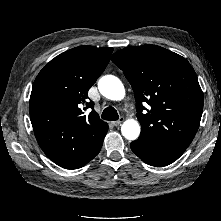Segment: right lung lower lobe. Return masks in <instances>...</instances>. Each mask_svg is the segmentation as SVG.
Segmentation results:
<instances>
[{
    "label": "right lung lower lobe",
    "mask_w": 221,
    "mask_h": 221,
    "mask_svg": "<svg viewBox=\"0 0 221 221\" xmlns=\"http://www.w3.org/2000/svg\"><path fill=\"white\" fill-rule=\"evenodd\" d=\"M107 131H108V129L105 131L104 135L101 137V140H100V142H99L98 149H97V151H96L95 156L99 153V151H100V149H101V147H102L103 139H104V137H105ZM95 156H94V157H95ZM94 157H93V158H94Z\"/></svg>",
    "instance_id": "1"
}]
</instances>
